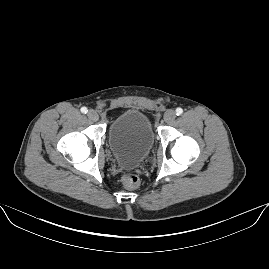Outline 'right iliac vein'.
Segmentation results:
<instances>
[{
  "mask_svg": "<svg viewBox=\"0 0 269 269\" xmlns=\"http://www.w3.org/2000/svg\"><path fill=\"white\" fill-rule=\"evenodd\" d=\"M87 116L92 121L98 120V113L95 110H89Z\"/></svg>",
  "mask_w": 269,
  "mask_h": 269,
  "instance_id": "obj_1",
  "label": "right iliac vein"
}]
</instances>
